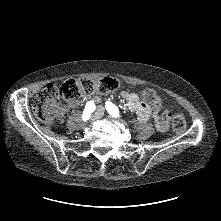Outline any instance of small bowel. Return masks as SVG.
Wrapping results in <instances>:
<instances>
[{"label": "small bowel", "instance_id": "1", "mask_svg": "<svg viewBox=\"0 0 221 221\" xmlns=\"http://www.w3.org/2000/svg\"><path fill=\"white\" fill-rule=\"evenodd\" d=\"M121 96L126 100L127 106L129 107V109L134 111L137 114V117L140 121L148 120L151 109L149 108L148 105L141 102L135 93L122 91ZM90 101L99 103L100 98L97 96H94L90 98ZM154 122H155V127L158 131L166 132L168 130L167 121L159 114L158 110L154 111Z\"/></svg>", "mask_w": 221, "mask_h": 221}]
</instances>
